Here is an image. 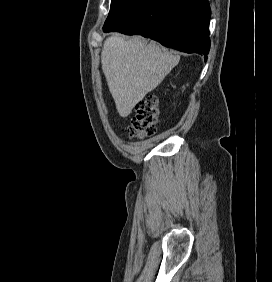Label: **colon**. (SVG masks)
I'll return each instance as SVG.
<instances>
[{
  "mask_svg": "<svg viewBox=\"0 0 272 282\" xmlns=\"http://www.w3.org/2000/svg\"><path fill=\"white\" fill-rule=\"evenodd\" d=\"M158 120L157 99L154 96L138 102L127 130L129 138L143 139L152 136Z\"/></svg>",
  "mask_w": 272,
  "mask_h": 282,
  "instance_id": "obj_1",
  "label": "colon"
}]
</instances>
